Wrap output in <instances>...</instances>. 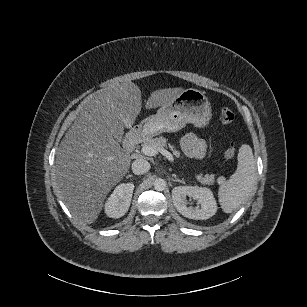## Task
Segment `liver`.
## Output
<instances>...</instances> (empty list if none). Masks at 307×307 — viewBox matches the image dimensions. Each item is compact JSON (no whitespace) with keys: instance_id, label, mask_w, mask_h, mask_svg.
Listing matches in <instances>:
<instances>
[{"instance_id":"liver-1","label":"liver","mask_w":307,"mask_h":307,"mask_svg":"<svg viewBox=\"0 0 307 307\" xmlns=\"http://www.w3.org/2000/svg\"><path fill=\"white\" fill-rule=\"evenodd\" d=\"M182 87L153 91L147 109L168 105ZM142 108L141 90L133 82L113 85L89 95L58 148L54 175L60 198L72 215L91 224L104 200L128 172L131 157L114 139L130 128Z\"/></svg>"}]
</instances>
